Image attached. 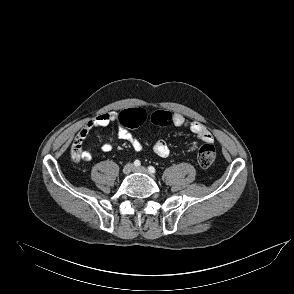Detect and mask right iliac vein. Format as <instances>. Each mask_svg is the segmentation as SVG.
Returning a JSON list of instances; mask_svg holds the SVG:
<instances>
[{"label":"right iliac vein","mask_w":294,"mask_h":294,"mask_svg":"<svg viewBox=\"0 0 294 294\" xmlns=\"http://www.w3.org/2000/svg\"><path fill=\"white\" fill-rule=\"evenodd\" d=\"M133 170V164L128 163L123 167V174L128 175Z\"/></svg>","instance_id":"1"}]
</instances>
